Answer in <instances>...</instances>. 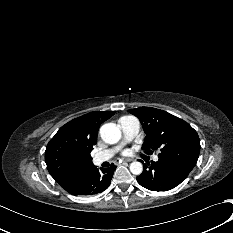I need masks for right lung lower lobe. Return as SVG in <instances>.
<instances>
[{
  "mask_svg": "<svg viewBox=\"0 0 233 233\" xmlns=\"http://www.w3.org/2000/svg\"><path fill=\"white\" fill-rule=\"evenodd\" d=\"M116 169L115 165L109 168H100L96 166L87 170L78 180L74 188L69 192L72 195H94L106 190Z\"/></svg>",
  "mask_w": 233,
  "mask_h": 233,
  "instance_id": "right-lung-lower-lobe-1",
  "label": "right lung lower lobe"
}]
</instances>
